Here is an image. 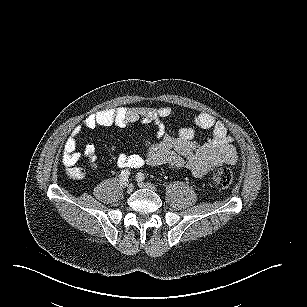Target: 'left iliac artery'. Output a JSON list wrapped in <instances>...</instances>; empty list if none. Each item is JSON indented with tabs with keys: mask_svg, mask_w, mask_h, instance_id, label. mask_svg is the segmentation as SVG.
Segmentation results:
<instances>
[{
	"mask_svg": "<svg viewBox=\"0 0 307 307\" xmlns=\"http://www.w3.org/2000/svg\"><path fill=\"white\" fill-rule=\"evenodd\" d=\"M145 179V177H144V174L143 173H137V175H136V180L137 181H143Z\"/></svg>",
	"mask_w": 307,
	"mask_h": 307,
	"instance_id": "obj_1",
	"label": "left iliac artery"
}]
</instances>
